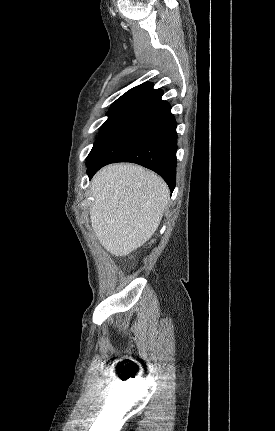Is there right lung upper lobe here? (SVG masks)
Masks as SVG:
<instances>
[{
	"mask_svg": "<svg viewBox=\"0 0 275 431\" xmlns=\"http://www.w3.org/2000/svg\"><path fill=\"white\" fill-rule=\"evenodd\" d=\"M163 91L153 89V83H142L119 97L110 107L108 113L133 112L136 113L147 105L161 99Z\"/></svg>",
	"mask_w": 275,
	"mask_h": 431,
	"instance_id": "right-lung-upper-lobe-1",
	"label": "right lung upper lobe"
}]
</instances>
